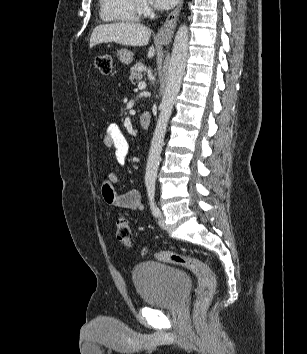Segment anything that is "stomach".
I'll return each mask as SVG.
<instances>
[{
    "mask_svg": "<svg viewBox=\"0 0 307 354\" xmlns=\"http://www.w3.org/2000/svg\"><path fill=\"white\" fill-rule=\"evenodd\" d=\"M160 43H167V39L160 40ZM117 57L121 63L128 65L133 60V53L127 49H121L117 52Z\"/></svg>",
    "mask_w": 307,
    "mask_h": 354,
    "instance_id": "stomach-1",
    "label": "stomach"
}]
</instances>
